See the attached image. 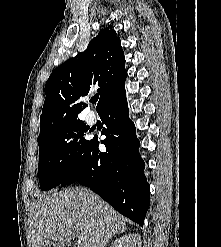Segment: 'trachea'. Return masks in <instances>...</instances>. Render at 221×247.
Returning <instances> with one entry per match:
<instances>
[{
  "label": "trachea",
  "instance_id": "1",
  "mask_svg": "<svg viewBox=\"0 0 221 247\" xmlns=\"http://www.w3.org/2000/svg\"><path fill=\"white\" fill-rule=\"evenodd\" d=\"M97 100H98V97H94V98L92 99L93 102H96Z\"/></svg>",
  "mask_w": 221,
  "mask_h": 247
}]
</instances>
